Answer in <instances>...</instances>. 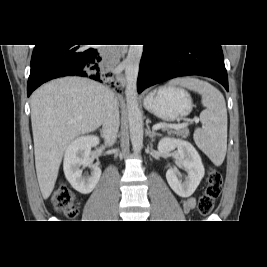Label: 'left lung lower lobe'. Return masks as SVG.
I'll list each match as a JSON object with an SVG mask.
<instances>
[{
	"mask_svg": "<svg viewBox=\"0 0 267 267\" xmlns=\"http://www.w3.org/2000/svg\"><path fill=\"white\" fill-rule=\"evenodd\" d=\"M187 75L210 77L228 91L221 45H145L138 75V93L154 84Z\"/></svg>",
	"mask_w": 267,
	"mask_h": 267,
	"instance_id": "1",
	"label": "left lung lower lobe"
}]
</instances>
